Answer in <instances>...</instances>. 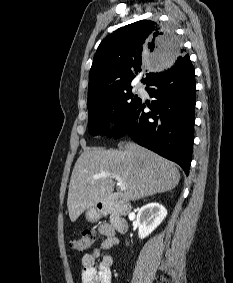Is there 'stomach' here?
<instances>
[{
  "label": "stomach",
  "mask_w": 233,
  "mask_h": 283,
  "mask_svg": "<svg viewBox=\"0 0 233 283\" xmlns=\"http://www.w3.org/2000/svg\"><path fill=\"white\" fill-rule=\"evenodd\" d=\"M101 213V210H99L96 206H93L86 211L85 215L89 221L94 222L100 218Z\"/></svg>",
  "instance_id": "0dacf381"
}]
</instances>
